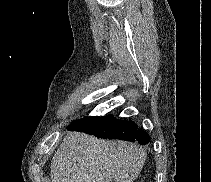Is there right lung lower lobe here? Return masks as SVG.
Returning <instances> with one entry per match:
<instances>
[{
    "label": "right lung lower lobe",
    "instance_id": "1",
    "mask_svg": "<svg viewBox=\"0 0 211 182\" xmlns=\"http://www.w3.org/2000/svg\"><path fill=\"white\" fill-rule=\"evenodd\" d=\"M68 130L85 132L99 138L136 140L143 145L150 141L148 133L139 130L133 121L117 120L113 115L84 117L73 121Z\"/></svg>",
    "mask_w": 211,
    "mask_h": 182
}]
</instances>
